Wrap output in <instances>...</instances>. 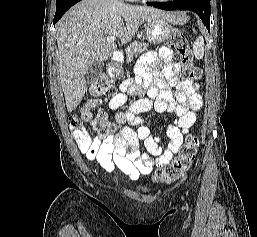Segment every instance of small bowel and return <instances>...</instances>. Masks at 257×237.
<instances>
[{
	"instance_id": "1",
	"label": "small bowel",
	"mask_w": 257,
	"mask_h": 237,
	"mask_svg": "<svg viewBox=\"0 0 257 237\" xmlns=\"http://www.w3.org/2000/svg\"><path fill=\"white\" fill-rule=\"evenodd\" d=\"M171 57L172 51L162 47L140 58L136 76L125 79L109 102V108L117 110L126 103L128 95L147 92L149 97H140L127 110L114 114L118 124L137 126L136 130L123 126L117 137L94 139L86 148L77 142L88 160L97 162L110 174L120 171L131 180H137L141 175L149 174L155 166L169 163L180 150L184 136L197 120L196 111L202 107V96L196 83L178 81L180 66L172 62ZM172 86L176 87L175 93ZM149 111L176 115L174 123L166 125L165 146L161 144L162 139L150 136L148 126L137 116ZM90 115V109L85 107L82 118L89 120ZM141 142H144L146 152L140 151Z\"/></svg>"
}]
</instances>
